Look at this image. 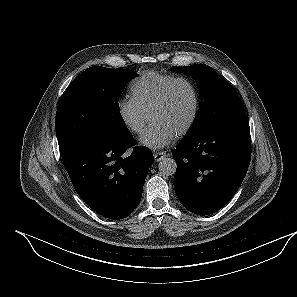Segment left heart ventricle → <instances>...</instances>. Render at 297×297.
Masks as SVG:
<instances>
[{"label": "left heart ventricle", "mask_w": 297, "mask_h": 297, "mask_svg": "<svg viewBox=\"0 0 297 297\" xmlns=\"http://www.w3.org/2000/svg\"><path fill=\"white\" fill-rule=\"evenodd\" d=\"M193 109V96L185 83H177L166 104L151 115V122H159L175 134L186 124Z\"/></svg>", "instance_id": "b2bd125f"}]
</instances>
